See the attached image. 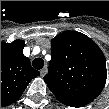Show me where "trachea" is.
Returning <instances> with one entry per match:
<instances>
[{
  "label": "trachea",
  "mask_w": 109,
  "mask_h": 109,
  "mask_svg": "<svg viewBox=\"0 0 109 109\" xmlns=\"http://www.w3.org/2000/svg\"><path fill=\"white\" fill-rule=\"evenodd\" d=\"M32 65L35 69H42L44 66V61L42 58H35L32 62Z\"/></svg>",
  "instance_id": "trachea-1"
}]
</instances>
